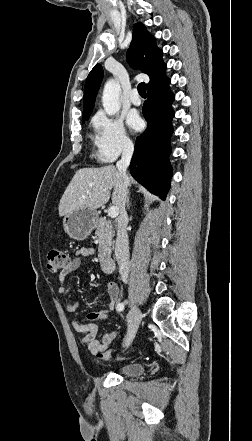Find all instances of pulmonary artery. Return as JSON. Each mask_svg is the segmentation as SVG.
I'll return each instance as SVG.
<instances>
[{
	"instance_id": "pulmonary-artery-1",
	"label": "pulmonary artery",
	"mask_w": 252,
	"mask_h": 441,
	"mask_svg": "<svg viewBox=\"0 0 252 441\" xmlns=\"http://www.w3.org/2000/svg\"><path fill=\"white\" fill-rule=\"evenodd\" d=\"M130 101L133 105L139 106L141 104V99L136 90H133L130 95Z\"/></svg>"
}]
</instances>
